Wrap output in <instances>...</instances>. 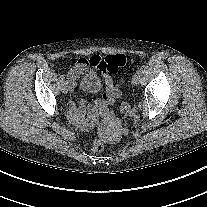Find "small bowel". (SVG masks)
I'll return each mask as SVG.
<instances>
[{
  "mask_svg": "<svg viewBox=\"0 0 207 207\" xmlns=\"http://www.w3.org/2000/svg\"><path fill=\"white\" fill-rule=\"evenodd\" d=\"M94 59H99L95 57ZM85 63H79L77 70H83ZM105 89L100 99L93 102L81 99L79 102L70 100L68 103V116L83 130L93 129L98 125V117L108 114L115 101L120 97L119 83L110 75H104ZM70 86L74 88V82L70 79Z\"/></svg>",
  "mask_w": 207,
  "mask_h": 207,
  "instance_id": "1",
  "label": "small bowel"
}]
</instances>
